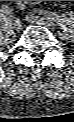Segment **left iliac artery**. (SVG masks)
Returning <instances> with one entry per match:
<instances>
[{
	"mask_svg": "<svg viewBox=\"0 0 74 122\" xmlns=\"http://www.w3.org/2000/svg\"><path fill=\"white\" fill-rule=\"evenodd\" d=\"M46 16L53 24H58L60 21L59 16L55 13H46Z\"/></svg>",
	"mask_w": 74,
	"mask_h": 122,
	"instance_id": "left-iliac-artery-1",
	"label": "left iliac artery"
}]
</instances>
